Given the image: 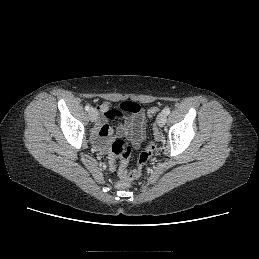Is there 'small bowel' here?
Segmentation results:
<instances>
[{"instance_id": "obj_1", "label": "small bowel", "mask_w": 259, "mask_h": 259, "mask_svg": "<svg viewBox=\"0 0 259 259\" xmlns=\"http://www.w3.org/2000/svg\"><path fill=\"white\" fill-rule=\"evenodd\" d=\"M99 120L95 131V144L100 149H105L113 136L127 137L134 147H139L143 141L145 117L141 108L137 112H130L131 116L124 118L116 131L109 125V121L123 117L119 108L112 107L109 103H102L97 107Z\"/></svg>"}]
</instances>
